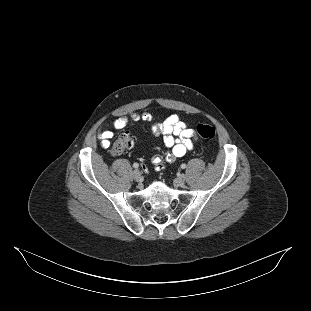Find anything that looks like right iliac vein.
<instances>
[{"instance_id": "right-iliac-vein-1", "label": "right iliac vein", "mask_w": 311, "mask_h": 311, "mask_svg": "<svg viewBox=\"0 0 311 311\" xmlns=\"http://www.w3.org/2000/svg\"><path fill=\"white\" fill-rule=\"evenodd\" d=\"M132 177L136 182H139L141 180V173L138 170H135L132 173Z\"/></svg>"}]
</instances>
